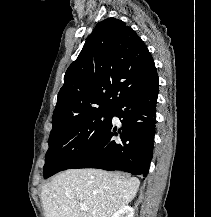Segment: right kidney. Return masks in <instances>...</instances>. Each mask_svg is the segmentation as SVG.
I'll use <instances>...</instances> for the list:
<instances>
[{
    "mask_svg": "<svg viewBox=\"0 0 211 217\" xmlns=\"http://www.w3.org/2000/svg\"><path fill=\"white\" fill-rule=\"evenodd\" d=\"M134 209L130 206H124L116 211L111 217H133Z\"/></svg>",
    "mask_w": 211,
    "mask_h": 217,
    "instance_id": "right-kidney-1",
    "label": "right kidney"
}]
</instances>
